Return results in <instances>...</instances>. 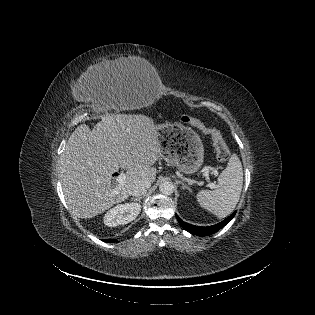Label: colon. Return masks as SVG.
<instances>
[{"label": "colon", "mask_w": 315, "mask_h": 315, "mask_svg": "<svg viewBox=\"0 0 315 315\" xmlns=\"http://www.w3.org/2000/svg\"><path fill=\"white\" fill-rule=\"evenodd\" d=\"M182 120L185 123L199 129L204 134L210 136L214 149H215L216 158L218 161L225 162L229 159L230 154H231L230 149L228 145L226 144L225 139L223 138V136L220 134L219 131H217L216 129L207 127L201 120L195 117L189 116V115H184L182 117Z\"/></svg>", "instance_id": "obj_1"}]
</instances>
